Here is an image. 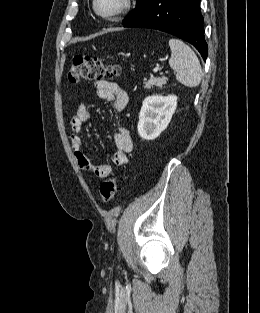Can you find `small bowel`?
<instances>
[{
	"mask_svg": "<svg viewBox=\"0 0 260 313\" xmlns=\"http://www.w3.org/2000/svg\"><path fill=\"white\" fill-rule=\"evenodd\" d=\"M95 89L98 97L112 102L117 113H121L127 106L129 96L127 92L117 83L108 80H99L95 82ZM90 115L84 103H80L76 113L70 117V141L76 163L80 170L86 174H92L98 178H105L111 175L113 168L110 165H94L91 163L83 151V142L81 138L82 127L89 121ZM113 144L115 151L112 156L113 163L118 166L128 163L127 155L133 149V142L129 131L120 127L113 134Z\"/></svg>",
	"mask_w": 260,
	"mask_h": 313,
	"instance_id": "c3829d8e",
	"label": "small bowel"
}]
</instances>
